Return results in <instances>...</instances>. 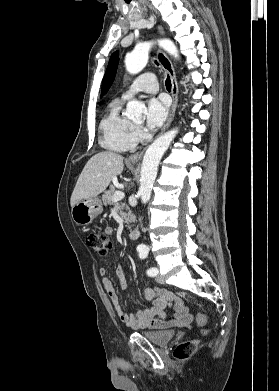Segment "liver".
Returning a JSON list of instances; mask_svg holds the SVG:
<instances>
[{
	"label": "liver",
	"instance_id": "liver-1",
	"mask_svg": "<svg viewBox=\"0 0 279 391\" xmlns=\"http://www.w3.org/2000/svg\"><path fill=\"white\" fill-rule=\"evenodd\" d=\"M123 160V156L109 151H103L91 157L77 180L70 199L71 207L82 200L97 197L102 193L113 177L122 173Z\"/></svg>",
	"mask_w": 279,
	"mask_h": 391
}]
</instances>
